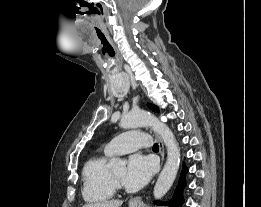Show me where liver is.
I'll list each match as a JSON object with an SVG mask.
<instances>
[{
  "label": "liver",
  "mask_w": 261,
  "mask_h": 207,
  "mask_svg": "<svg viewBox=\"0 0 261 207\" xmlns=\"http://www.w3.org/2000/svg\"><path fill=\"white\" fill-rule=\"evenodd\" d=\"M122 203H123L122 200H109V201L85 204L83 207H120Z\"/></svg>",
  "instance_id": "6515ba94"
}]
</instances>
